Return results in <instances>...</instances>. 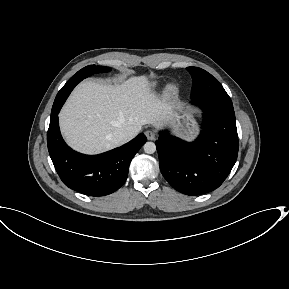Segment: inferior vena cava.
<instances>
[{"instance_id": "1", "label": "inferior vena cava", "mask_w": 289, "mask_h": 289, "mask_svg": "<svg viewBox=\"0 0 289 289\" xmlns=\"http://www.w3.org/2000/svg\"><path fill=\"white\" fill-rule=\"evenodd\" d=\"M113 142L117 145H122L129 140L128 133L125 130H116L111 136Z\"/></svg>"}]
</instances>
